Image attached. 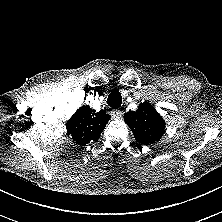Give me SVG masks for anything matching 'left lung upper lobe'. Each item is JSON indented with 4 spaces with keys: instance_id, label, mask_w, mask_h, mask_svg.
Returning <instances> with one entry per match:
<instances>
[{
    "instance_id": "1",
    "label": "left lung upper lobe",
    "mask_w": 222,
    "mask_h": 222,
    "mask_svg": "<svg viewBox=\"0 0 222 222\" xmlns=\"http://www.w3.org/2000/svg\"><path fill=\"white\" fill-rule=\"evenodd\" d=\"M124 120L132 130L135 139L144 145L158 142L165 131V122L149 103L139 105L136 111L125 113Z\"/></svg>"
}]
</instances>
